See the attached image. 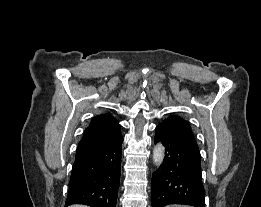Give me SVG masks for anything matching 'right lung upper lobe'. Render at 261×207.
<instances>
[{
	"instance_id": "cb5924a9",
	"label": "right lung upper lobe",
	"mask_w": 261,
	"mask_h": 207,
	"mask_svg": "<svg viewBox=\"0 0 261 207\" xmlns=\"http://www.w3.org/2000/svg\"><path fill=\"white\" fill-rule=\"evenodd\" d=\"M120 137V125L114 117L109 114L95 116L85 129L76 153L112 143Z\"/></svg>"
}]
</instances>
